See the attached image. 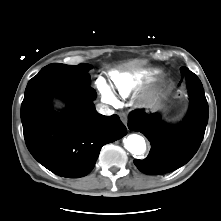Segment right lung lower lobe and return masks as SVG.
<instances>
[{
  "instance_id": "98d812e1",
  "label": "right lung lower lobe",
  "mask_w": 221,
  "mask_h": 221,
  "mask_svg": "<svg viewBox=\"0 0 221 221\" xmlns=\"http://www.w3.org/2000/svg\"><path fill=\"white\" fill-rule=\"evenodd\" d=\"M60 97L66 109L57 112L51 99ZM90 85H69L46 79H31L21 105V121L28 150L51 172L79 178L95 166L103 145L126 135L117 115L99 114Z\"/></svg>"
}]
</instances>
